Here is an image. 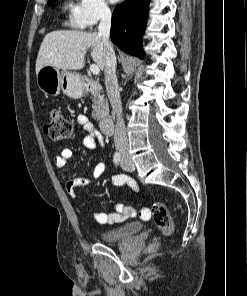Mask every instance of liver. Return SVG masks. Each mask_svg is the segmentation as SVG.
<instances>
[{"instance_id":"obj_1","label":"liver","mask_w":247,"mask_h":296,"mask_svg":"<svg viewBox=\"0 0 247 296\" xmlns=\"http://www.w3.org/2000/svg\"><path fill=\"white\" fill-rule=\"evenodd\" d=\"M89 49L92 50L93 61L104 69V44L98 33L75 30L50 32L41 43L36 73L47 65L63 70H80L85 65V55Z\"/></svg>"}]
</instances>
